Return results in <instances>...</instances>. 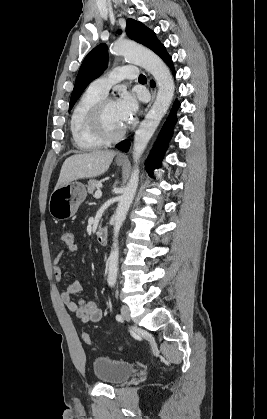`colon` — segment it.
I'll list each match as a JSON object with an SVG mask.
<instances>
[{
  "label": "colon",
  "mask_w": 267,
  "mask_h": 419,
  "mask_svg": "<svg viewBox=\"0 0 267 419\" xmlns=\"http://www.w3.org/2000/svg\"><path fill=\"white\" fill-rule=\"evenodd\" d=\"M62 241L68 248L73 247L76 244L74 240V235L71 231H65L62 234ZM83 340L86 344H91L92 342V339L88 333L83 334Z\"/></svg>",
  "instance_id": "obj_1"
}]
</instances>
